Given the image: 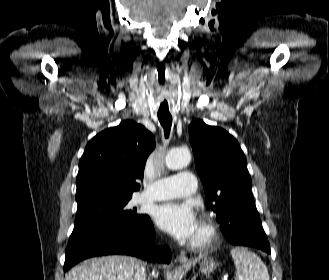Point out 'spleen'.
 Instances as JSON below:
<instances>
[{
	"label": "spleen",
	"instance_id": "1",
	"mask_svg": "<svg viewBox=\"0 0 329 280\" xmlns=\"http://www.w3.org/2000/svg\"><path fill=\"white\" fill-rule=\"evenodd\" d=\"M230 253L236 268L235 280H270L266 266L255 253L242 247Z\"/></svg>",
	"mask_w": 329,
	"mask_h": 280
}]
</instances>
